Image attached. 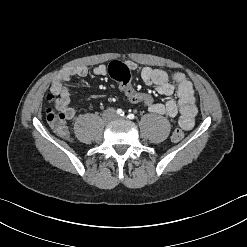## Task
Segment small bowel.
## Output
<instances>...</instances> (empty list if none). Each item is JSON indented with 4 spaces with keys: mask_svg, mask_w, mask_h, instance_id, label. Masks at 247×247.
I'll return each mask as SVG.
<instances>
[{
    "mask_svg": "<svg viewBox=\"0 0 247 247\" xmlns=\"http://www.w3.org/2000/svg\"><path fill=\"white\" fill-rule=\"evenodd\" d=\"M129 71H135L138 66L135 62L123 63ZM88 68L85 66H74L59 74L52 82L50 94L55 97V106L61 109L67 119H72L76 115V109L70 105L69 82L71 78H83L88 75ZM92 74L96 76L109 75L108 66L101 64L92 69ZM142 81L149 86H154L158 93L171 95L177 93L178 100L168 99L164 103H157L148 110L152 113L175 117L179 115V125L185 129H191L195 124L197 114L196 99L191 82L183 73L175 72L169 75L160 68L144 67L141 72Z\"/></svg>",
    "mask_w": 247,
    "mask_h": 247,
    "instance_id": "obj_1",
    "label": "small bowel"
}]
</instances>
